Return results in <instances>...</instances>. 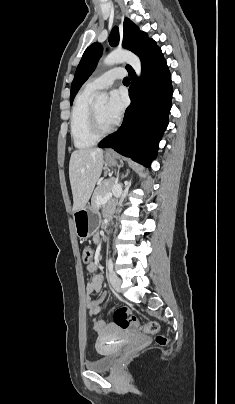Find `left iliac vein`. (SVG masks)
<instances>
[{
	"label": "left iliac vein",
	"instance_id": "obj_1",
	"mask_svg": "<svg viewBox=\"0 0 235 404\" xmlns=\"http://www.w3.org/2000/svg\"><path fill=\"white\" fill-rule=\"evenodd\" d=\"M109 281L114 290L118 292L121 290L122 281L114 272L109 273Z\"/></svg>",
	"mask_w": 235,
	"mask_h": 404
}]
</instances>
